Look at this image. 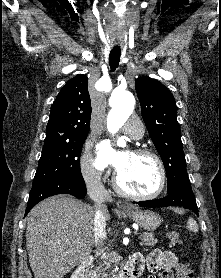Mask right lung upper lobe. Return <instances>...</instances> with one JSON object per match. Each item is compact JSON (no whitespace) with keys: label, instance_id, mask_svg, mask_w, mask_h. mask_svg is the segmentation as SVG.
Wrapping results in <instances>:
<instances>
[{"label":"right lung upper lobe","instance_id":"obj_1","mask_svg":"<svg viewBox=\"0 0 221 278\" xmlns=\"http://www.w3.org/2000/svg\"><path fill=\"white\" fill-rule=\"evenodd\" d=\"M91 111L88 78L77 75L60 90L51 106L44 143L87 136Z\"/></svg>","mask_w":221,"mask_h":278}]
</instances>
